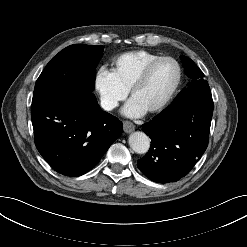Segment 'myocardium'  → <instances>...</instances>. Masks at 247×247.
<instances>
[{"label":"myocardium","mask_w":247,"mask_h":247,"mask_svg":"<svg viewBox=\"0 0 247 247\" xmlns=\"http://www.w3.org/2000/svg\"><path fill=\"white\" fill-rule=\"evenodd\" d=\"M171 61L172 63H174L176 70H177V76H176V80L174 85L172 86L171 90L169 91V93L166 95V97L160 101L158 104H156L155 106H153L152 108L148 109L147 111L150 113H155L158 112L160 110H162L163 108H165L170 101L173 99V97L175 96V94L177 93L180 84H181V80H182V68L179 64V62L174 59L173 57L170 56H159L158 58L152 60L151 62H149L144 68L143 70L140 72V74L137 76V78L134 80L131 88H130V96L133 97V95L135 94V92L144 85V83L147 81L151 71L153 70V68L161 61Z\"/></svg>","instance_id":"obj_1"}]
</instances>
